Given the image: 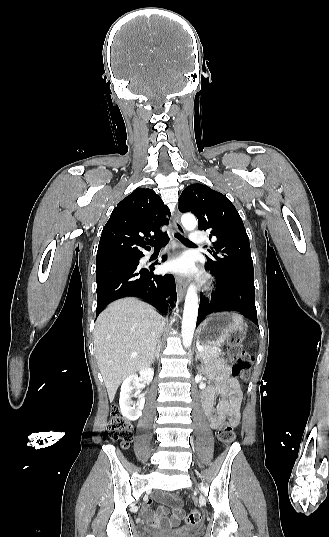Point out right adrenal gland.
I'll use <instances>...</instances> for the list:
<instances>
[{
  "mask_svg": "<svg viewBox=\"0 0 329 537\" xmlns=\"http://www.w3.org/2000/svg\"><path fill=\"white\" fill-rule=\"evenodd\" d=\"M160 348H161V345H158L156 349V353L152 359V363L154 362L155 358L159 359Z\"/></svg>",
  "mask_w": 329,
  "mask_h": 537,
  "instance_id": "obj_1",
  "label": "right adrenal gland"
}]
</instances>
